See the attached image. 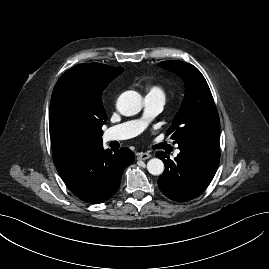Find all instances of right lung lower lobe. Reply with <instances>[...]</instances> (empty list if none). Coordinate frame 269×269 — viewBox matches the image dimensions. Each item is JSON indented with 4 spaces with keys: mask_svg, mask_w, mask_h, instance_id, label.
I'll return each mask as SVG.
<instances>
[{
    "mask_svg": "<svg viewBox=\"0 0 269 269\" xmlns=\"http://www.w3.org/2000/svg\"><path fill=\"white\" fill-rule=\"evenodd\" d=\"M134 159V153L126 147L112 151L99 146L55 166L77 197L98 204L117 192L124 169Z\"/></svg>",
    "mask_w": 269,
    "mask_h": 269,
    "instance_id": "right-lung-lower-lobe-1",
    "label": "right lung lower lobe"
}]
</instances>
